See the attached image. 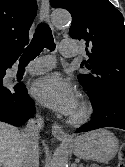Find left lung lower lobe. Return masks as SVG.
Returning a JSON list of instances; mask_svg holds the SVG:
<instances>
[{
  "mask_svg": "<svg viewBox=\"0 0 125 167\" xmlns=\"http://www.w3.org/2000/svg\"><path fill=\"white\" fill-rule=\"evenodd\" d=\"M95 110L92 120L77 129L75 133L88 132L103 127H116L125 130V91L104 93L92 103Z\"/></svg>",
  "mask_w": 125,
  "mask_h": 167,
  "instance_id": "1",
  "label": "left lung lower lobe"
}]
</instances>
